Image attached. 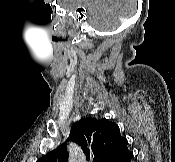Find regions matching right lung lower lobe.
I'll use <instances>...</instances> for the list:
<instances>
[{
	"mask_svg": "<svg viewBox=\"0 0 175 162\" xmlns=\"http://www.w3.org/2000/svg\"><path fill=\"white\" fill-rule=\"evenodd\" d=\"M133 158V154L128 150V148L119 154L112 162H130Z\"/></svg>",
	"mask_w": 175,
	"mask_h": 162,
	"instance_id": "1",
	"label": "right lung lower lobe"
}]
</instances>
